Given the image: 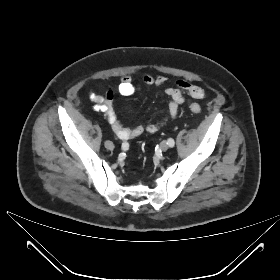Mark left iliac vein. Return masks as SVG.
<instances>
[{
    "label": "left iliac vein",
    "instance_id": "4c4485c4",
    "mask_svg": "<svg viewBox=\"0 0 280 280\" xmlns=\"http://www.w3.org/2000/svg\"><path fill=\"white\" fill-rule=\"evenodd\" d=\"M160 147L162 151H167L169 149V146L166 141H162Z\"/></svg>",
    "mask_w": 280,
    "mask_h": 280
}]
</instances>
